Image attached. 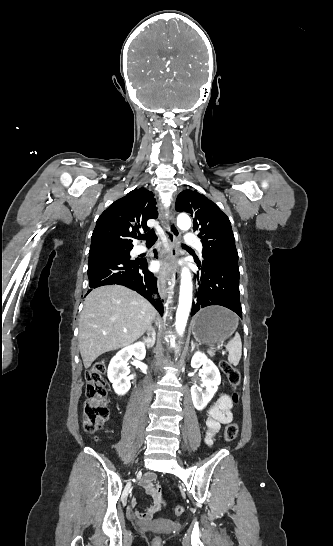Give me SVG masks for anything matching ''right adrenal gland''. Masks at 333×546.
<instances>
[{
    "label": "right adrenal gland",
    "instance_id": "right-adrenal-gland-1",
    "mask_svg": "<svg viewBox=\"0 0 333 546\" xmlns=\"http://www.w3.org/2000/svg\"><path fill=\"white\" fill-rule=\"evenodd\" d=\"M143 340H144L147 348L153 347L154 344H155V341H156V332H155V330H152L151 337L143 336Z\"/></svg>",
    "mask_w": 333,
    "mask_h": 546
}]
</instances>
